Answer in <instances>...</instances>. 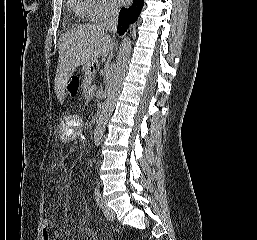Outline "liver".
<instances>
[{
    "label": "liver",
    "instance_id": "liver-1",
    "mask_svg": "<svg viewBox=\"0 0 257 240\" xmlns=\"http://www.w3.org/2000/svg\"><path fill=\"white\" fill-rule=\"evenodd\" d=\"M113 49L109 35L98 24H84L64 33L59 41V59L54 80L60 103L64 102L65 89L75 69L81 65L90 67Z\"/></svg>",
    "mask_w": 257,
    "mask_h": 240
}]
</instances>
